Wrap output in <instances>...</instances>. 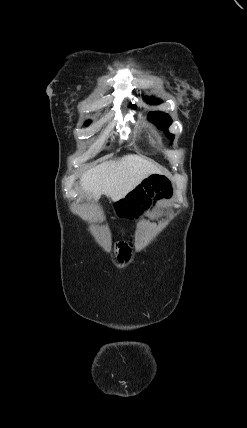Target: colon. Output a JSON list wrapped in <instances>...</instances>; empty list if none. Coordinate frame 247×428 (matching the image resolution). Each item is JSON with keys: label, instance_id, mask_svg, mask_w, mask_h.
Masks as SVG:
<instances>
[{"label": "colon", "instance_id": "colon-1", "mask_svg": "<svg viewBox=\"0 0 247 428\" xmlns=\"http://www.w3.org/2000/svg\"><path fill=\"white\" fill-rule=\"evenodd\" d=\"M171 194V185L167 178L159 175H152L145 179L133 191L129 193L127 199H112L111 207L115 209V216L119 221L110 220V229H129L130 221H137L140 217H145L147 213L156 211V202L153 200L168 198ZM119 248L124 252L127 247L124 243H119Z\"/></svg>", "mask_w": 247, "mask_h": 428}]
</instances>
